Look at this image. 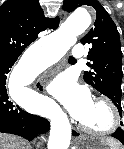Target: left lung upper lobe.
I'll return each mask as SVG.
<instances>
[{
  "instance_id": "left-lung-upper-lobe-1",
  "label": "left lung upper lobe",
  "mask_w": 124,
  "mask_h": 149,
  "mask_svg": "<svg viewBox=\"0 0 124 149\" xmlns=\"http://www.w3.org/2000/svg\"><path fill=\"white\" fill-rule=\"evenodd\" d=\"M82 5H90L96 10V20L82 44H91L87 65L91 71H85L84 81L92 85L101 94L107 96L122 114L121 82L122 51L117 27L107 11L97 0H64V10L72 12ZM123 126V123H121Z\"/></svg>"
}]
</instances>
